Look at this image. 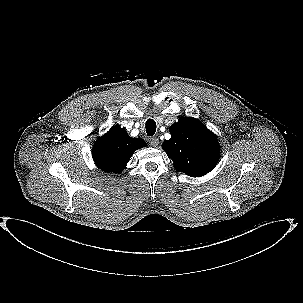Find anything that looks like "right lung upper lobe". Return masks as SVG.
I'll use <instances>...</instances> for the list:
<instances>
[{
    "instance_id": "cb5924a9",
    "label": "right lung upper lobe",
    "mask_w": 303,
    "mask_h": 303,
    "mask_svg": "<svg viewBox=\"0 0 303 303\" xmlns=\"http://www.w3.org/2000/svg\"><path fill=\"white\" fill-rule=\"evenodd\" d=\"M146 145L143 139L132 138L123 128L114 126L98 138L94 144L92 156L101 170L120 173L126 168L132 154Z\"/></svg>"
}]
</instances>
